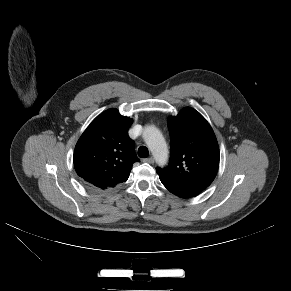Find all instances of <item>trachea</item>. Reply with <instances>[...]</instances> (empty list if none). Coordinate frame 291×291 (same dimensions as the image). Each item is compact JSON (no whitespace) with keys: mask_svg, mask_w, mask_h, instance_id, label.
Returning a JSON list of instances; mask_svg holds the SVG:
<instances>
[{"mask_svg":"<svg viewBox=\"0 0 291 291\" xmlns=\"http://www.w3.org/2000/svg\"><path fill=\"white\" fill-rule=\"evenodd\" d=\"M138 156L140 158H147L149 156V151H148L147 147L140 146L138 149Z\"/></svg>","mask_w":291,"mask_h":291,"instance_id":"obj_1","label":"trachea"}]
</instances>
